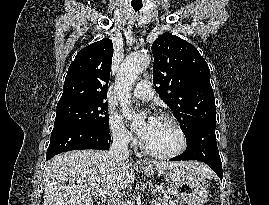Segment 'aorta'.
Wrapping results in <instances>:
<instances>
[{
	"mask_svg": "<svg viewBox=\"0 0 269 205\" xmlns=\"http://www.w3.org/2000/svg\"><path fill=\"white\" fill-rule=\"evenodd\" d=\"M147 52L132 53L124 60L117 79V91L121 100L122 114L128 118H135V113L130 108L127 93L131 85L150 63Z\"/></svg>",
	"mask_w": 269,
	"mask_h": 205,
	"instance_id": "762f6f07",
	"label": "aorta"
}]
</instances>
